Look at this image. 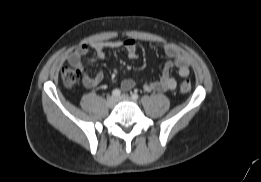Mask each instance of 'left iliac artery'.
Here are the masks:
<instances>
[{"instance_id":"obj_1","label":"left iliac artery","mask_w":261,"mask_h":182,"mask_svg":"<svg viewBox=\"0 0 261 182\" xmlns=\"http://www.w3.org/2000/svg\"><path fill=\"white\" fill-rule=\"evenodd\" d=\"M131 97H132V99L133 100H138V98H139V95L137 94V93H133L132 95H131Z\"/></svg>"}]
</instances>
